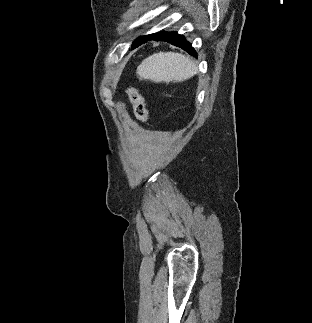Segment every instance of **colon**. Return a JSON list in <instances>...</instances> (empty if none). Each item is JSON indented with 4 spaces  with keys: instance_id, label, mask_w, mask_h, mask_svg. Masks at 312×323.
<instances>
[{
    "instance_id": "5ec220e1",
    "label": "colon",
    "mask_w": 312,
    "mask_h": 323,
    "mask_svg": "<svg viewBox=\"0 0 312 323\" xmlns=\"http://www.w3.org/2000/svg\"><path fill=\"white\" fill-rule=\"evenodd\" d=\"M127 95L134 107L137 120L142 124H146L148 121V109L143 95L135 87L127 88Z\"/></svg>"
}]
</instances>
